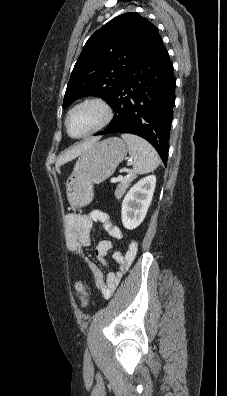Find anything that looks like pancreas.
<instances>
[{
  "instance_id": "cf45deb5",
  "label": "pancreas",
  "mask_w": 227,
  "mask_h": 396,
  "mask_svg": "<svg viewBox=\"0 0 227 396\" xmlns=\"http://www.w3.org/2000/svg\"><path fill=\"white\" fill-rule=\"evenodd\" d=\"M135 179L134 174H130V176L123 178L119 181V184L115 190V197L117 199H121L124 195L126 189L129 187L130 183Z\"/></svg>"
}]
</instances>
